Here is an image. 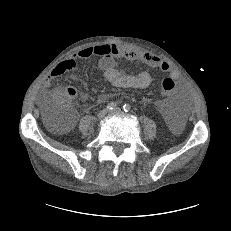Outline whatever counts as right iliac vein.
<instances>
[{
    "instance_id": "obj_1",
    "label": "right iliac vein",
    "mask_w": 231,
    "mask_h": 231,
    "mask_svg": "<svg viewBox=\"0 0 231 231\" xmlns=\"http://www.w3.org/2000/svg\"><path fill=\"white\" fill-rule=\"evenodd\" d=\"M107 114V110L106 109H103L101 110L98 114H97V118L98 119H102L105 117V115Z\"/></svg>"
}]
</instances>
